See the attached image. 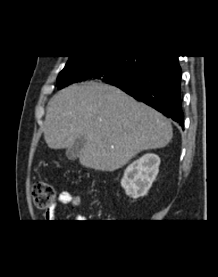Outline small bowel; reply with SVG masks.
Listing matches in <instances>:
<instances>
[{
  "label": "small bowel",
  "instance_id": "c3829d8e",
  "mask_svg": "<svg viewBox=\"0 0 218 277\" xmlns=\"http://www.w3.org/2000/svg\"><path fill=\"white\" fill-rule=\"evenodd\" d=\"M81 201L82 199L80 195L73 194L68 190H63L59 193L57 201L45 210V219L51 222V220H54L56 218L58 204L78 207L81 204Z\"/></svg>",
  "mask_w": 218,
  "mask_h": 277
}]
</instances>
